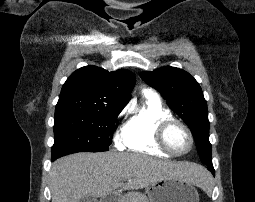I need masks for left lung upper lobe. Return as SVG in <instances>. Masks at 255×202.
I'll list each match as a JSON object with an SVG mask.
<instances>
[{
  "label": "left lung upper lobe",
  "mask_w": 255,
  "mask_h": 202,
  "mask_svg": "<svg viewBox=\"0 0 255 202\" xmlns=\"http://www.w3.org/2000/svg\"><path fill=\"white\" fill-rule=\"evenodd\" d=\"M140 76L188 125L202 163L212 162L207 103L198 82L186 71L171 66L143 71Z\"/></svg>",
  "instance_id": "1"
}]
</instances>
